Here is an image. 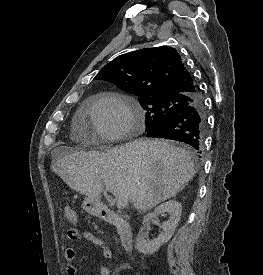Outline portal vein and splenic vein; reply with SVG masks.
Segmentation results:
<instances>
[{
	"mask_svg": "<svg viewBox=\"0 0 263 275\" xmlns=\"http://www.w3.org/2000/svg\"><path fill=\"white\" fill-rule=\"evenodd\" d=\"M106 190L111 192L114 196H115V200L117 201V208L118 209H124L126 208L127 204H128V199L118 195L117 193H115L114 191H112V189L109 186H106Z\"/></svg>",
	"mask_w": 263,
	"mask_h": 275,
	"instance_id": "obj_1",
	"label": "portal vein and splenic vein"
}]
</instances>
